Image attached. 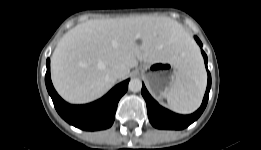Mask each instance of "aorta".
Instances as JSON below:
<instances>
[{
	"label": "aorta",
	"instance_id": "obj_1",
	"mask_svg": "<svg viewBox=\"0 0 261 150\" xmlns=\"http://www.w3.org/2000/svg\"><path fill=\"white\" fill-rule=\"evenodd\" d=\"M142 89V81L138 78L131 79L129 82V90L131 92H139Z\"/></svg>",
	"mask_w": 261,
	"mask_h": 150
}]
</instances>
